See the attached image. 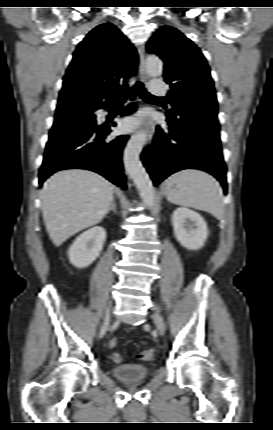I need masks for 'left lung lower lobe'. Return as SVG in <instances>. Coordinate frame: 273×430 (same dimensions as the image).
<instances>
[{"instance_id":"left-lung-lower-lobe-1","label":"left lung lower lobe","mask_w":273,"mask_h":430,"mask_svg":"<svg viewBox=\"0 0 273 430\" xmlns=\"http://www.w3.org/2000/svg\"><path fill=\"white\" fill-rule=\"evenodd\" d=\"M166 114L168 131L158 126L151 147L142 153V161L154 185L179 170L199 169L214 175L227 193L217 118L204 116L187 121Z\"/></svg>"}]
</instances>
